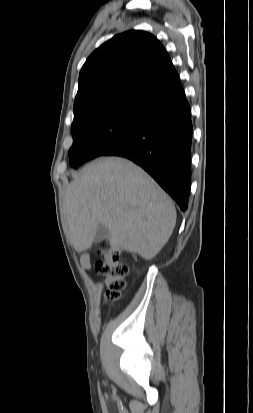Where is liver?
<instances>
[{
	"mask_svg": "<svg viewBox=\"0 0 253 413\" xmlns=\"http://www.w3.org/2000/svg\"><path fill=\"white\" fill-rule=\"evenodd\" d=\"M65 217L77 252L89 249L99 225L113 251L155 257L170 238L176 210L170 197L140 167L120 157L86 165L65 194Z\"/></svg>",
	"mask_w": 253,
	"mask_h": 413,
	"instance_id": "liver-1",
	"label": "liver"
}]
</instances>
